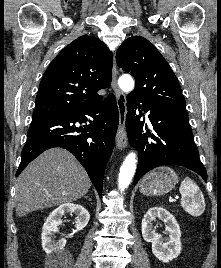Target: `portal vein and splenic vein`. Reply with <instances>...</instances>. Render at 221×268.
Masks as SVG:
<instances>
[{"label":"portal vein and splenic vein","instance_id":"18ae733b","mask_svg":"<svg viewBox=\"0 0 221 268\" xmlns=\"http://www.w3.org/2000/svg\"><path fill=\"white\" fill-rule=\"evenodd\" d=\"M177 198V197H176ZM170 202H174L175 200L174 199H172V198H170V200H169Z\"/></svg>","mask_w":221,"mask_h":268}]
</instances>
